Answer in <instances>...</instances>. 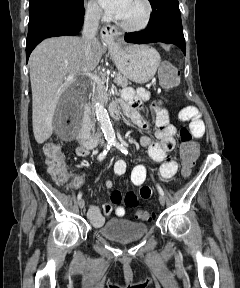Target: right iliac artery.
<instances>
[{
    "label": "right iliac artery",
    "mask_w": 240,
    "mask_h": 288,
    "mask_svg": "<svg viewBox=\"0 0 240 288\" xmlns=\"http://www.w3.org/2000/svg\"><path fill=\"white\" fill-rule=\"evenodd\" d=\"M112 145H113V141H108L107 147L98 155V160L99 161H102L106 157V155L108 154V152L111 149ZM81 197H82V193L79 192L78 196H77V199L80 200Z\"/></svg>",
    "instance_id": "right-iliac-artery-1"
}]
</instances>
